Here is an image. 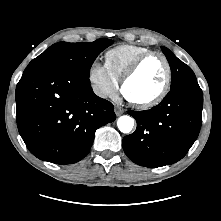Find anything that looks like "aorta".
<instances>
[{"label": "aorta", "instance_id": "obj_1", "mask_svg": "<svg viewBox=\"0 0 221 221\" xmlns=\"http://www.w3.org/2000/svg\"><path fill=\"white\" fill-rule=\"evenodd\" d=\"M117 126L122 133H129L134 127V119L124 115L118 118Z\"/></svg>", "mask_w": 221, "mask_h": 221}]
</instances>
